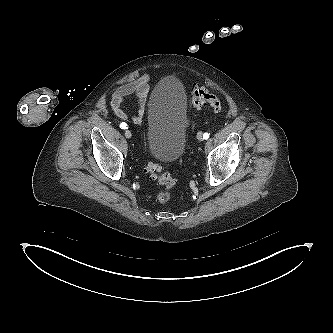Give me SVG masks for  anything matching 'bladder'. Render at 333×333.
I'll return each instance as SVG.
<instances>
[{
	"label": "bladder",
	"instance_id": "obj_1",
	"mask_svg": "<svg viewBox=\"0 0 333 333\" xmlns=\"http://www.w3.org/2000/svg\"><path fill=\"white\" fill-rule=\"evenodd\" d=\"M187 105L185 87L176 76H165L154 87L147 108L146 139L157 159L174 162L183 155Z\"/></svg>",
	"mask_w": 333,
	"mask_h": 333
}]
</instances>
